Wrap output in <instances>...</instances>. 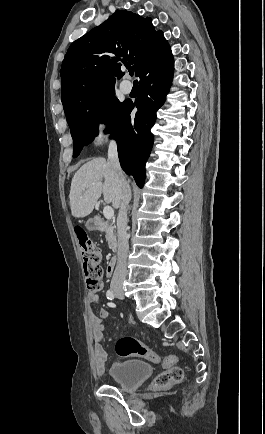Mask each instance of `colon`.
Instances as JSON below:
<instances>
[{
    "mask_svg": "<svg viewBox=\"0 0 265 434\" xmlns=\"http://www.w3.org/2000/svg\"><path fill=\"white\" fill-rule=\"evenodd\" d=\"M74 234L83 260L86 287L92 293H100L103 289L100 249L94 244L83 226H75ZM115 352L121 358H125L129 356H145L147 350L137 339L128 335L116 342ZM154 360L165 369L164 372L155 377L154 387L156 389H170L182 380L183 371L181 368L174 366V357L161 358L155 355Z\"/></svg>",
    "mask_w": 265,
    "mask_h": 434,
    "instance_id": "obj_1",
    "label": "colon"
}]
</instances>
